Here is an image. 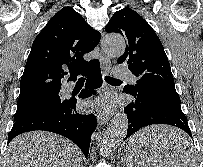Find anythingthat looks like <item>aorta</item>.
I'll return each mask as SVG.
<instances>
[{
  "mask_svg": "<svg viewBox=\"0 0 203 167\" xmlns=\"http://www.w3.org/2000/svg\"><path fill=\"white\" fill-rule=\"evenodd\" d=\"M125 47V40L120 35L110 34L103 39V49L110 56L120 57L123 55ZM127 129V115L124 113L117 114L103 136L100 154L105 156L112 153L126 137Z\"/></svg>",
  "mask_w": 203,
  "mask_h": 167,
  "instance_id": "obj_1",
  "label": "aorta"
}]
</instances>
